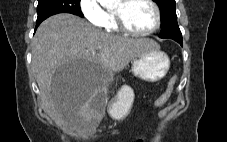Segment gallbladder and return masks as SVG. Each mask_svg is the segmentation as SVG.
<instances>
[{
	"instance_id": "gallbladder-1",
	"label": "gallbladder",
	"mask_w": 227,
	"mask_h": 142,
	"mask_svg": "<svg viewBox=\"0 0 227 142\" xmlns=\"http://www.w3.org/2000/svg\"><path fill=\"white\" fill-rule=\"evenodd\" d=\"M108 98L105 93H96L93 101L89 105L91 113H104L107 108Z\"/></svg>"
}]
</instances>
